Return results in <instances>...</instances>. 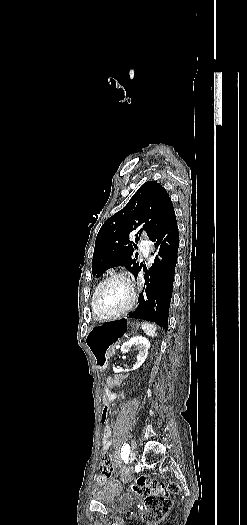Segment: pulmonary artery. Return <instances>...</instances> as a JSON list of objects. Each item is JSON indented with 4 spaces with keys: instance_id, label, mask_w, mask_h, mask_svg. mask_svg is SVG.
I'll return each instance as SVG.
<instances>
[{
    "instance_id": "e3ab8cb5",
    "label": "pulmonary artery",
    "mask_w": 247,
    "mask_h": 525,
    "mask_svg": "<svg viewBox=\"0 0 247 525\" xmlns=\"http://www.w3.org/2000/svg\"><path fill=\"white\" fill-rule=\"evenodd\" d=\"M149 243L150 242H149V239L147 238V236H142L141 242H140V245H139V251L141 253L142 259H144V260L149 259V257H150L149 253L152 252V247L150 246Z\"/></svg>"
}]
</instances>
